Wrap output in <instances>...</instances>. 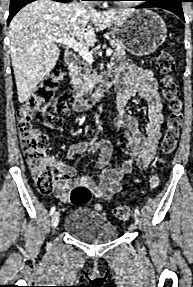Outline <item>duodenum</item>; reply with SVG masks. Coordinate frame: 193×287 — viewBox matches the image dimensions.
I'll list each match as a JSON object with an SVG mask.
<instances>
[{"label":"duodenum","mask_w":193,"mask_h":287,"mask_svg":"<svg viewBox=\"0 0 193 287\" xmlns=\"http://www.w3.org/2000/svg\"><path fill=\"white\" fill-rule=\"evenodd\" d=\"M77 57L74 51L68 50L65 53V63L71 69L76 63ZM70 83L72 84V78L70 77ZM111 80L104 78L100 83L99 87L91 90L90 92L81 91L78 94L77 99L73 104V110L76 112L83 111L88 108L91 104L96 102L109 88Z\"/></svg>","instance_id":"obj_1"}]
</instances>
